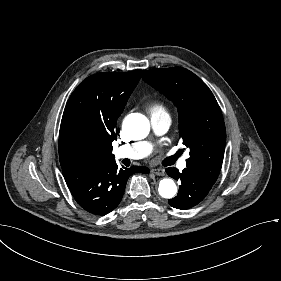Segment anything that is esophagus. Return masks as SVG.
<instances>
[{
	"instance_id": "obj_1",
	"label": "esophagus",
	"mask_w": 281,
	"mask_h": 281,
	"mask_svg": "<svg viewBox=\"0 0 281 281\" xmlns=\"http://www.w3.org/2000/svg\"><path fill=\"white\" fill-rule=\"evenodd\" d=\"M151 173L157 175V176H164L165 175V170L162 168H153L150 171Z\"/></svg>"
}]
</instances>
